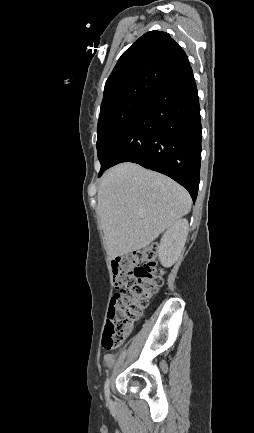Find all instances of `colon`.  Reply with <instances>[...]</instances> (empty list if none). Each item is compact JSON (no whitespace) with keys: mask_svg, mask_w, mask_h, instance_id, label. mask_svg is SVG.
I'll return each instance as SVG.
<instances>
[{"mask_svg":"<svg viewBox=\"0 0 254 433\" xmlns=\"http://www.w3.org/2000/svg\"><path fill=\"white\" fill-rule=\"evenodd\" d=\"M114 286L103 336V348L120 346L134 322L148 306L151 296L163 285L157 265V247L151 246L117 258L113 264Z\"/></svg>","mask_w":254,"mask_h":433,"instance_id":"1","label":"colon"}]
</instances>
